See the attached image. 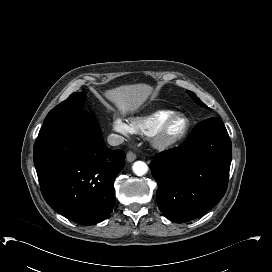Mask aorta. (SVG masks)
Here are the masks:
<instances>
[{
	"label": "aorta",
	"mask_w": 272,
	"mask_h": 272,
	"mask_svg": "<svg viewBox=\"0 0 272 272\" xmlns=\"http://www.w3.org/2000/svg\"><path fill=\"white\" fill-rule=\"evenodd\" d=\"M132 169L137 176H143L147 173L148 166L145 162L137 161L133 164Z\"/></svg>",
	"instance_id": "aorta-1"
}]
</instances>
